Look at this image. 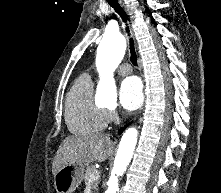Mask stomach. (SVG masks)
I'll list each match as a JSON object with an SVG mask.
<instances>
[{
    "mask_svg": "<svg viewBox=\"0 0 221 193\" xmlns=\"http://www.w3.org/2000/svg\"><path fill=\"white\" fill-rule=\"evenodd\" d=\"M84 165H67L54 174V186L57 193H73L82 182Z\"/></svg>",
    "mask_w": 221,
    "mask_h": 193,
    "instance_id": "obj_1",
    "label": "stomach"
}]
</instances>
